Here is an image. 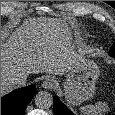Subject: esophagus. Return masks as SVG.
<instances>
[{"instance_id": "obj_1", "label": "esophagus", "mask_w": 115, "mask_h": 115, "mask_svg": "<svg viewBox=\"0 0 115 115\" xmlns=\"http://www.w3.org/2000/svg\"><path fill=\"white\" fill-rule=\"evenodd\" d=\"M55 84H56V82L54 79L48 78L42 83V87L44 89H52L55 87Z\"/></svg>"}]
</instances>
